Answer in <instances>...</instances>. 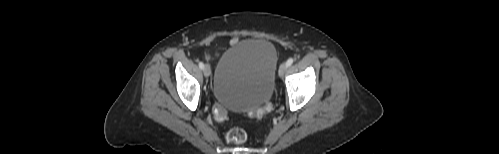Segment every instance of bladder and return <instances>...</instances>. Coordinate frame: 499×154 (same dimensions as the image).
I'll return each instance as SVG.
<instances>
[{
  "label": "bladder",
  "mask_w": 499,
  "mask_h": 154,
  "mask_svg": "<svg viewBox=\"0 0 499 154\" xmlns=\"http://www.w3.org/2000/svg\"><path fill=\"white\" fill-rule=\"evenodd\" d=\"M275 46L265 39H248L220 57L214 77L215 99L232 111H249L267 103L277 67Z\"/></svg>",
  "instance_id": "31cf9c89"
}]
</instances>
